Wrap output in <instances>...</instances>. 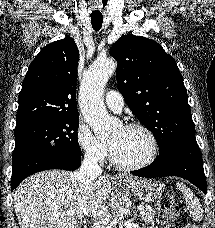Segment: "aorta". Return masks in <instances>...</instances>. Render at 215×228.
Instances as JSON below:
<instances>
[{"label":"aorta","instance_id":"aorta-1","mask_svg":"<svg viewBox=\"0 0 215 228\" xmlns=\"http://www.w3.org/2000/svg\"><path fill=\"white\" fill-rule=\"evenodd\" d=\"M117 68L115 60H97L92 64L80 94L81 112L96 136H106L112 130L111 118L102 102V90ZM119 228H124L123 206H118Z\"/></svg>","mask_w":215,"mask_h":228}]
</instances>
